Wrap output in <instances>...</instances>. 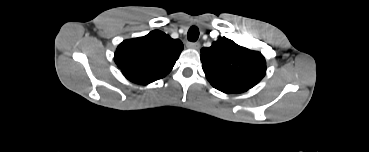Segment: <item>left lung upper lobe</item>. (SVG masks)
Here are the masks:
<instances>
[{"label": "left lung upper lobe", "instance_id": "5c2ea615", "mask_svg": "<svg viewBox=\"0 0 369 152\" xmlns=\"http://www.w3.org/2000/svg\"><path fill=\"white\" fill-rule=\"evenodd\" d=\"M202 68L211 85L227 94L242 93L266 74V61L257 51L237 45L225 37L201 49Z\"/></svg>", "mask_w": 369, "mask_h": 152}]
</instances>
